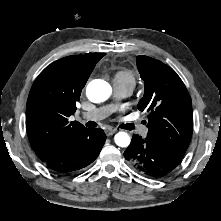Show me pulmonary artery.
Wrapping results in <instances>:
<instances>
[{
    "label": "pulmonary artery",
    "mask_w": 221,
    "mask_h": 221,
    "mask_svg": "<svg viewBox=\"0 0 221 221\" xmlns=\"http://www.w3.org/2000/svg\"><path fill=\"white\" fill-rule=\"evenodd\" d=\"M133 89L132 85L114 83V96L116 98L128 97L132 94ZM115 110L116 106L109 104L84 113L82 118L86 121H99L109 116Z\"/></svg>",
    "instance_id": "e3ab8cb5"
}]
</instances>
